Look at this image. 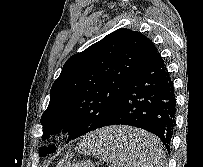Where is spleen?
I'll use <instances>...</instances> for the list:
<instances>
[{
  "mask_svg": "<svg viewBox=\"0 0 203 167\" xmlns=\"http://www.w3.org/2000/svg\"><path fill=\"white\" fill-rule=\"evenodd\" d=\"M107 138L109 137L100 133L91 134L83 141L82 151L95 154L106 162H112L109 167H164L165 152L157 138H148L141 148L136 149L138 154L129 152L127 148L132 147L126 143L124 147H106ZM116 149L125 151L118 154L115 152Z\"/></svg>",
  "mask_w": 203,
  "mask_h": 167,
  "instance_id": "obj_1",
  "label": "spleen"
}]
</instances>
